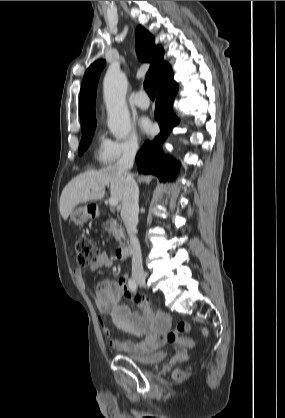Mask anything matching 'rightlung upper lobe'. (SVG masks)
<instances>
[{
  "label": "right lung upper lobe",
  "instance_id": "cb5924a9",
  "mask_svg": "<svg viewBox=\"0 0 285 418\" xmlns=\"http://www.w3.org/2000/svg\"><path fill=\"white\" fill-rule=\"evenodd\" d=\"M136 49L141 61L150 62L146 77H151L157 90L173 77L168 63L163 60L164 50L155 45V38L141 25L136 28ZM106 62L97 60L85 72L80 90V120L82 127L96 122L95 98L97 83Z\"/></svg>",
  "mask_w": 285,
  "mask_h": 418
}]
</instances>
